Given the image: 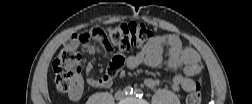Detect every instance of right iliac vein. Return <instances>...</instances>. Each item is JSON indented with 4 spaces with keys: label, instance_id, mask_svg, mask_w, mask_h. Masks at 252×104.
I'll list each match as a JSON object with an SVG mask.
<instances>
[{
    "label": "right iliac vein",
    "instance_id": "63e3f726",
    "mask_svg": "<svg viewBox=\"0 0 252 104\" xmlns=\"http://www.w3.org/2000/svg\"><path fill=\"white\" fill-rule=\"evenodd\" d=\"M123 97H124V94H123V93H118V94H117V98H118V99H121V98H123Z\"/></svg>",
    "mask_w": 252,
    "mask_h": 104
}]
</instances>
